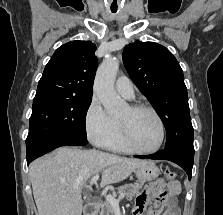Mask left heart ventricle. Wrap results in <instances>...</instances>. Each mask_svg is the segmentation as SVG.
<instances>
[{"label":"left heart ventricle","instance_id":"b2bd125f","mask_svg":"<svg viewBox=\"0 0 223 215\" xmlns=\"http://www.w3.org/2000/svg\"><path fill=\"white\" fill-rule=\"evenodd\" d=\"M118 119L127 125L131 141L136 148L149 150L156 146L159 128L151 113L145 110L131 111L127 107Z\"/></svg>","mask_w":223,"mask_h":215}]
</instances>
